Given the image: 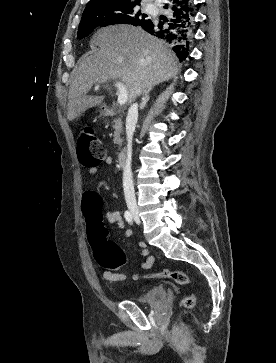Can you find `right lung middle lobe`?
Masks as SVG:
<instances>
[{
  "instance_id": "1",
  "label": "right lung middle lobe",
  "mask_w": 276,
  "mask_h": 363,
  "mask_svg": "<svg viewBox=\"0 0 276 363\" xmlns=\"http://www.w3.org/2000/svg\"><path fill=\"white\" fill-rule=\"evenodd\" d=\"M137 6L140 3L108 1L86 7L79 25L78 38L86 37L97 27L118 23L141 25L146 15Z\"/></svg>"
}]
</instances>
